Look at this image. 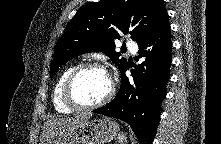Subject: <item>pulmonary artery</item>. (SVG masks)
Here are the masks:
<instances>
[{
    "label": "pulmonary artery",
    "instance_id": "1",
    "mask_svg": "<svg viewBox=\"0 0 221 144\" xmlns=\"http://www.w3.org/2000/svg\"><path fill=\"white\" fill-rule=\"evenodd\" d=\"M126 44H127V47H128L133 53H136V52H137L138 46H137V44H136L135 41H133V40H128Z\"/></svg>",
    "mask_w": 221,
    "mask_h": 144
}]
</instances>
